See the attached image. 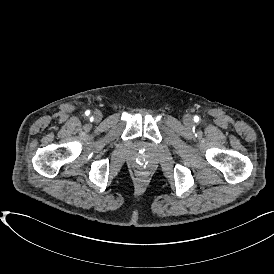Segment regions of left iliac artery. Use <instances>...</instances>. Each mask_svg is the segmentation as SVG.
<instances>
[{"mask_svg": "<svg viewBox=\"0 0 274 274\" xmlns=\"http://www.w3.org/2000/svg\"><path fill=\"white\" fill-rule=\"evenodd\" d=\"M194 121H195V122H198V121H199V117H198V116H195V117H194Z\"/></svg>", "mask_w": 274, "mask_h": 274, "instance_id": "44dca946", "label": "left iliac artery"}]
</instances>
